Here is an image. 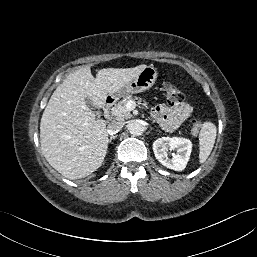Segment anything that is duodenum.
Returning a JSON list of instances; mask_svg holds the SVG:
<instances>
[{
    "mask_svg": "<svg viewBox=\"0 0 257 257\" xmlns=\"http://www.w3.org/2000/svg\"><path fill=\"white\" fill-rule=\"evenodd\" d=\"M113 104H114V99L112 97L108 96L104 99L103 112H104V118L107 121L110 120V111Z\"/></svg>",
    "mask_w": 257,
    "mask_h": 257,
    "instance_id": "410a0bca",
    "label": "duodenum"
}]
</instances>
